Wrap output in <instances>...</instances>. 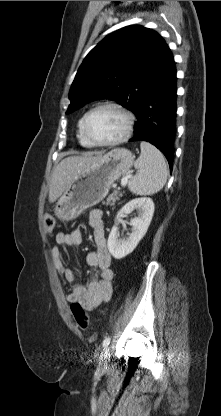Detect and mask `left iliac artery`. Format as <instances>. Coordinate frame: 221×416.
<instances>
[{
  "label": "left iliac artery",
  "instance_id": "left-iliac-artery-1",
  "mask_svg": "<svg viewBox=\"0 0 221 416\" xmlns=\"http://www.w3.org/2000/svg\"><path fill=\"white\" fill-rule=\"evenodd\" d=\"M110 341H111V338H110V337H106V338L103 340L102 347H103V348H106V347L110 344Z\"/></svg>",
  "mask_w": 221,
  "mask_h": 416
}]
</instances>
